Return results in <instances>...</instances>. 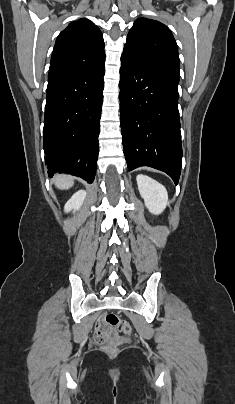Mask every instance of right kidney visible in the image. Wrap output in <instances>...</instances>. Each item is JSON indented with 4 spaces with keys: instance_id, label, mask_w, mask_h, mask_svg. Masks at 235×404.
I'll return each instance as SVG.
<instances>
[{
    "instance_id": "1",
    "label": "right kidney",
    "mask_w": 235,
    "mask_h": 404,
    "mask_svg": "<svg viewBox=\"0 0 235 404\" xmlns=\"http://www.w3.org/2000/svg\"><path fill=\"white\" fill-rule=\"evenodd\" d=\"M85 197L86 192L84 190H79L67 201V203L64 206V211L70 212L72 210L73 211L78 210L83 204Z\"/></svg>"
}]
</instances>
